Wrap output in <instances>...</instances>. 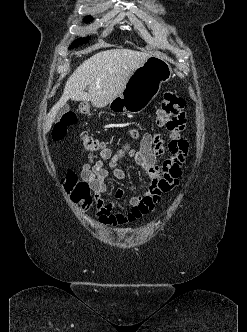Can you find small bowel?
<instances>
[{
    "label": "small bowel",
    "mask_w": 247,
    "mask_h": 332,
    "mask_svg": "<svg viewBox=\"0 0 247 332\" xmlns=\"http://www.w3.org/2000/svg\"><path fill=\"white\" fill-rule=\"evenodd\" d=\"M181 131L182 129L172 132L168 146L165 147L159 137H154L149 133L139 135L135 130H131V136L139 140L137 150L129 145H124L115 152L104 148L88 159L83 165L80 175L95 194L97 215L101 224L118 227L140 219L154 210L162 194L169 192L179 183L182 166L188 152V143L181 135ZM166 152L170 154L169 158L159 164V156ZM125 158H131L145 170L147 184L143 195L130 199L129 211L113 212L111 204L105 202L102 195L107 191L109 170L116 180L125 178V172L118 166L119 161ZM106 164L109 170L106 168ZM123 194L121 189L116 192L118 198H121Z\"/></svg>",
    "instance_id": "small-bowel-1"
}]
</instances>
